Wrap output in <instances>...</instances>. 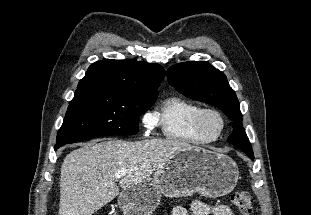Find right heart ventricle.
I'll return each instance as SVG.
<instances>
[{"label":"right heart ventricle","mask_w":311,"mask_h":215,"mask_svg":"<svg viewBox=\"0 0 311 215\" xmlns=\"http://www.w3.org/2000/svg\"><path fill=\"white\" fill-rule=\"evenodd\" d=\"M202 108L182 97L172 96L165 99L155 112L156 124L167 139L193 145L210 142L195 128V119Z\"/></svg>","instance_id":"1"}]
</instances>
